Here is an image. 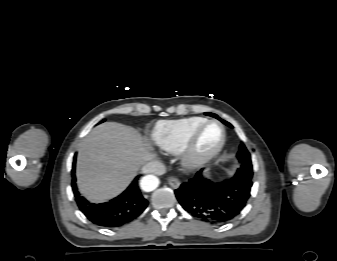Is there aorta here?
<instances>
[{
    "instance_id": "1",
    "label": "aorta",
    "mask_w": 337,
    "mask_h": 261,
    "mask_svg": "<svg viewBox=\"0 0 337 261\" xmlns=\"http://www.w3.org/2000/svg\"><path fill=\"white\" fill-rule=\"evenodd\" d=\"M140 185L143 191L151 192L158 187L159 179L154 175H147L141 179Z\"/></svg>"
}]
</instances>
